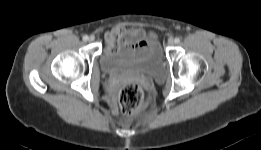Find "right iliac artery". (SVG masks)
I'll return each instance as SVG.
<instances>
[{
  "label": "right iliac artery",
  "instance_id": "82829eb1",
  "mask_svg": "<svg viewBox=\"0 0 261 150\" xmlns=\"http://www.w3.org/2000/svg\"><path fill=\"white\" fill-rule=\"evenodd\" d=\"M88 39H89V38H88L87 35H84V36H83V40H84V41H87Z\"/></svg>",
  "mask_w": 261,
  "mask_h": 150
}]
</instances>
